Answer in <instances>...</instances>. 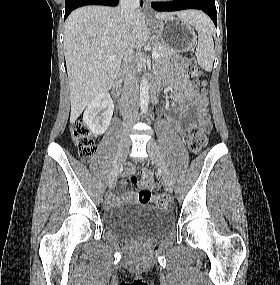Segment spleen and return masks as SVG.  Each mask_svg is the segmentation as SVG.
<instances>
[{"label":"spleen","mask_w":280,"mask_h":285,"mask_svg":"<svg viewBox=\"0 0 280 285\" xmlns=\"http://www.w3.org/2000/svg\"><path fill=\"white\" fill-rule=\"evenodd\" d=\"M190 22L198 32V44L196 57L200 67L206 71H211L214 61V42L212 34L214 26L211 20L203 13L197 12L193 18L181 17Z\"/></svg>","instance_id":"3e777b00"}]
</instances>
